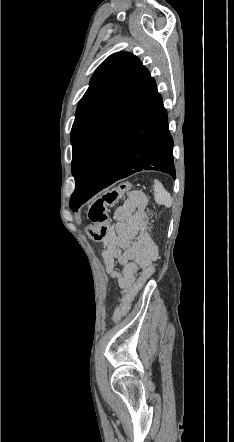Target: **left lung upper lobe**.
Wrapping results in <instances>:
<instances>
[{
  "label": "left lung upper lobe",
  "mask_w": 234,
  "mask_h": 442,
  "mask_svg": "<svg viewBox=\"0 0 234 442\" xmlns=\"http://www.w3.org/2000/svg\"><path fill=\"white\" fill-rule=\"evenodd\" d=\"M145 69L135 55H110L94 72L89 88L79 101L71 130L72 173L77 180L91 138Z\"/></svg>",
  "instance_id": "5c2ea615"
}]
</instances>
